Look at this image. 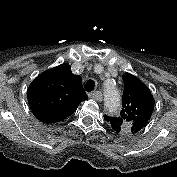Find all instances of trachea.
Here are the masks:
<instances>
[{
	"instance_id": "trachea-1",
	"label": "trachea",
	"mask_w": 177,
	"mask_h": 177,
	"mask_svg": "<svg viewBox=\"0 0 177 177\" xmlns=\"http://www.w3.org/2000/svg\"><path fill=\"white\" fill-rule=\"evenodd\" d=\"M94 87H95V82L93 80L90 79L86 82L85 88L87 92L93 91Z\"/></svg>"
}]
</instances>
